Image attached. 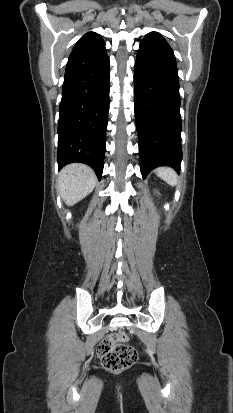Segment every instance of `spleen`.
Instances as JSON below:
<instances>
[{
    "instance_id": "obj_1",
    "label": "spleen",
    "mask_w": 233,
    "mask_h": 413,
    "mask_svg": "<svg viewBox=\"0 0 233 413\" xmlns=\"http://www.w3.org/2000/svg\"><path fill=\"white\" fill-rule=\"evenodd\" d=\"M156 174L158 177L163 179L171 186L177 185V174L176 172L169 167H160L156 169Z\"/></svg>"
}]
</instances>
